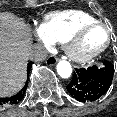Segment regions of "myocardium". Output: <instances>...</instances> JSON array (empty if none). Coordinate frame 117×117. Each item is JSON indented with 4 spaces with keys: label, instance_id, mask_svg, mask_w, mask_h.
<instances>
[{
    "label": "myocardium",
    "instance_id": "1",
    "mask_svg": "<svg viewBox=\"0 0 117 117\" xmlns=\"http://www.w3.org/2000/svg\"><path fill=\"white\" fill-rule=\"evenodd\" d=\"M94 27L104 28L107 32V39L103 46L100 48L90 51V52H80L76 48L77 42L80 38L87 32L89 29ZM113 32L112 29L105 23L100 21H94L90 23H86L79 27L74 33H72L68 39L65 41V51L69 58L78 63H86L100 54H102L111 44Z\"/></svg>",
    "mask_w": 117,
    "mask_h": 117
}]
</instances>
